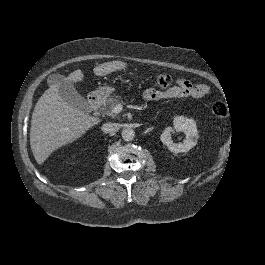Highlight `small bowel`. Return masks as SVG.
I'll use <instances>...</instances> for the list:
<instances>
[{
	"mask_svg": "<svg viewBox=\"0 0 265 265\" xmlns=\"http://www.w3.org/2000/svg\"><path fill=\"white\" fill-rule=\"evenodd\" d=\"M210 88L205 84H192L186 79H179L177 84L165 91L150 88L144 92L146 101H159L175 98H202L208 95Z\"/></svg>",
	"mask_w": 265,
	"mask_h": 265,
	"instance_id": "small-bowel-1",
	"label": "small bowel"
}]
</instances>
